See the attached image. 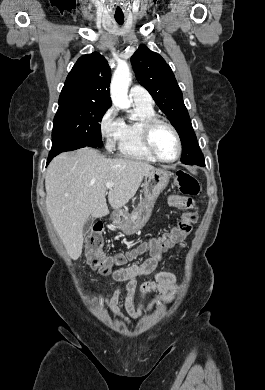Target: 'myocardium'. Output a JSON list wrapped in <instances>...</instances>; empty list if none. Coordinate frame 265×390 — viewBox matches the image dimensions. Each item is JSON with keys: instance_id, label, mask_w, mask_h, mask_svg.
Instances as JSON below:
<instances>
[{"instance_id": "obj_1", "label": "myocardium", "mask_w": 265, "mask_h": 390, "mask_svg": "<svg viewBox=\"0 0 265 390\" xmlns=\"http://www.w3.org/2000/svg\"><path fill=\"white\" fill-rule=\"evenodd\" d=\"M159 125H164L167 128H169L175 137V140L177 143V153L173 159L167 160V159L162 158L158 154L156 149L154 148V145L152 142V134H153L154 129ZM141 137H142V142H143L145 149L157 161L162 162V163H174L180 158L181 153H182L181 138L179 136L177 129L174 127V125L171 124L170 122H168L167 120H164L158 116H153L151 118H148L141 125Z\"/></svg>"}]
</instances>
